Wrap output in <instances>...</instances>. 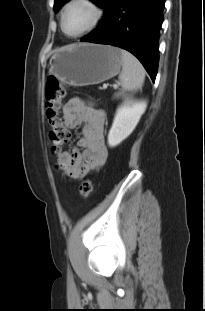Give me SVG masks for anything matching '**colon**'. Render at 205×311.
Instances as JSON below:
<instances>
[{
	"label": "colon",
	"instance_id": "colon-1",
	"mask_svg": "<svg viewBox=\"0 0 205 311\" xmlns=\"http://www.w3.org/2000/svg\"><path fill=\"white\" fill-rule=\"evenodd\" d=\"M45 95V120L49 129V144L51 151L59 154L70 139V134L64 128L61 117L65 88L57 78L49 77L46 81ZM91 191V181L83 180L79 186L80 197L87 198Z\"/></svg>",
	"mask_w": 205,
	"mask_h": 311
}]
</instances>
